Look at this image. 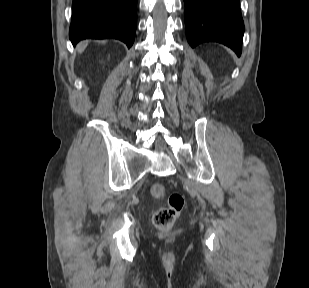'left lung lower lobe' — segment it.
Wrapping results in <instances>:
<instances>
[{"mask_svg": "<svg viewBox=\"0 0 309 288\" xmlns=\"http://www.w3.org/2000/svg\"><path fill=\"white\" fill-rule=\"evenodd\" d=\"M186 36L192 47L222 43L240 56L244 23L239 0H184Z\"/></svg>", "mask_w": 309, "mask_h": 288, "instance_id": "0a47b994", "label": "left lung lower lobe"}]
</instances>
